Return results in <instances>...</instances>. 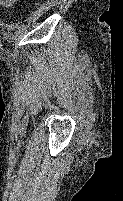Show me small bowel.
Listing matches in <instances>:
<instances>
[{"instance_id": "c3829d8e", "label": "small bowel", "mask_w": 123, "mask_h": 201, "mask_svg": "<svg viewBox=\"0 0 123 201\" xmlns=\"http://www.w3.org/2000/svg\"><path fill=\"white\" fill-rule=\"evenodd\" d=\"M18 0H0V7L4 9L11 8Z\"/></svg>"}]
</instances>
